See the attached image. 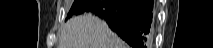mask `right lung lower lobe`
I'll return each mask as SVG.
<instances>
[{
  "label": "right lung lower lobe",
  "mask_w": 213,
  "mask_h": 48,
  "mask_svg": "<svg viewBox=\"0 0 213 48\" xmlns=\"http://www.w3.org/2000/svg\"><path fill=\"white\" fill-rule=\"evenodd\" d=\"M152 10L153 0H87L79 14L97 15L133 48H146Z\"/></svg>",
  "instance_id": "obj_1"
}]
</instances>
